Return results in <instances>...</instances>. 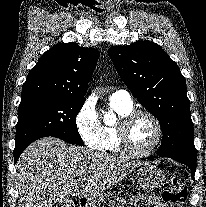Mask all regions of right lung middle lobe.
Returning a JSON list of instances; mask_svg holds the SVG:
<instances>
[{"mask_svg": "<svg viewBox=\"0 0 206 207\" xmlns=\"http://www.w3.org/2000/svg\"><path fill=\"white\" fill-rule=\"evenodd\" d=\"M84 101L54 96H38L20 102L15 149L35 140L53 136L67 143L84 145L76 126V116Z\"/></svg>", "mask_w": 206, "mask_h": 207, "instance_id": "dd1d6c3e", "label": "right lung middle lobe"}]
</instances>
